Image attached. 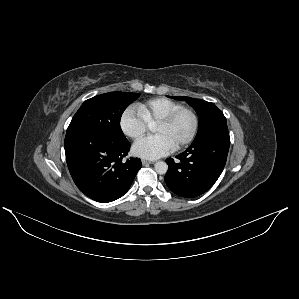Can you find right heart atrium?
<instances>
[{
  "label": "right heart atrium",
  "mask_w": 299,
  "mask_h": 299,
  "mask_svg": "<svg viewBox=\"0 0 299 299\" xmlns=\"http://www.w3.org/2000/svg\"><path fill=\"white\" fill-rule=\"evenodd\" d=\"M124 134L134 140L141 138L150 129L141 112L135 107H129L120 120Z\"/></svg>",
  "instance_id": "obj_1"
}]
</instances>
